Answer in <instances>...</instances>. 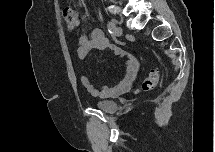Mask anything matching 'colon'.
<instances>
[{
    "instance_id": "colon-1",
    "label": "colon",
    "mask_w": 215,
    "mask_h": 152,
    "mask_svg": "<svg viewBox=\"0 0 215 152\" xmlns=\"http://www.w3.org/2000/svg\"><path fill=\"white\" fill-rule=\"evenodd\" d=\"M63 20L69 29H74L78 24V14L71 7H65L63 9ZM159 80V72L156 68L152 69L147 77L142 81L137 92H148L155 88Z\"/></svg>"
}]
</instances>
